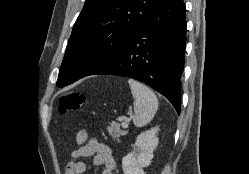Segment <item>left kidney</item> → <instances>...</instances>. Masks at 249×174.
Returning a JSON list of instances; mask_svg holds the SVG:
<instances>
[{
  "label": "left kidney",
  "instance_id": "1",
  "mask_svg": "<svg viewBox=\"0 0 249 174\" xmlns=\"http://www.w3.org/2000/svg\"><path fill=\"white\" fill-rule=\"evenodd\" d=\"M159 127H154L137 136L134 144L136 153H128L122 159L124 174H145L144 167L150 165L153 159V152L158 145Z\"/></svg>",
  "mask_w": 249,
  "mask_h": 174
}]
</instances>
